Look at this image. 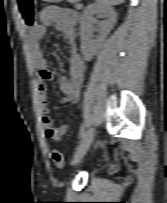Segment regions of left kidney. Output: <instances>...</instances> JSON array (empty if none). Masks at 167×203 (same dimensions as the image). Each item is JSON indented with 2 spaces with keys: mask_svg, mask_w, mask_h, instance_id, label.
Instances as JSON below:
<instances>
[{
  "mask_svg": "<svg viewBox=\"0 0 167 203\" xmlns=\"http://www.w3.org/2000/svg\"><path fill=\"white\" fill-rule=\"evenodd\" d=\"M94 16L105 18V20L99 23V37L95 41H92L89 38V32L92 24L95 22ZM116 19L117 14L113 9L106 8L99 3L91 4L85 9L80 26V36L81 52L86 61H91L101 49L106 36L116 23Z\"/></svg>",
  "mask_w": 167,
  "mask_h": 203,
  "instance_id": "left-kidney-1",
  "label": "left kidney"
}]
</instances>
